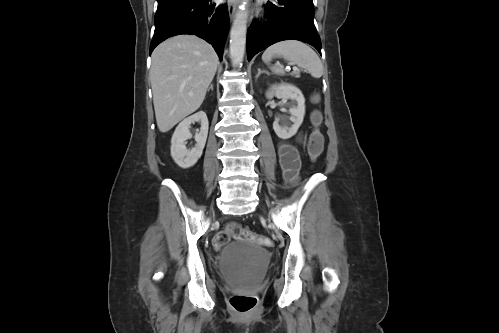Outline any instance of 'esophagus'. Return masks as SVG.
Returning <instances> with one entry per match:
<instances>
[{"mask_svg": "<svg viewBox=\"0 0 499 333\" xmlns=\"http://www.w3.org/2000/svg\"><path fill=\"white\" fill-rule=\"evenodd\" d=\"M236 9H237V0H230L228 4V13L231 20L235 16Z\"/></svg>", "mask_w": 499, "mask_h": 333, "instance_id": "34e87169", "label": "esophagus"}]
</instances>
